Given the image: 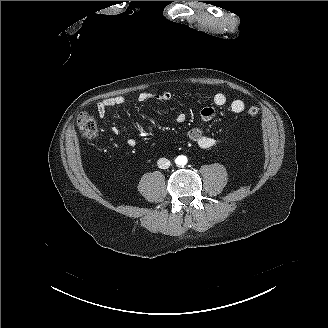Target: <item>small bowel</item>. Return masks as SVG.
Segmentation results:
<instances>
[{
	"instance_id": "1",
	"label": "small bowel",
	"mask_w": 328,
	"mask_h": 328,
	"mask_svg": "<svg viewBox=\"0 0 328 328\" xmlns=\"http://www.w3.org/2000/svg\"><path fill=\"white\" fill-rule=\"evenodd\" d=\"M171 98V93L168 91L162 92H142L138 95V102H149V101H167ZM215 106H224L228 103L227 96L224 93H216L212 97ZM126 102L122 96L107 98L97 104L96 110L101 118H104L109 109L124 105ZM229 107L232 112L240 113L245 109V103L240 99H235L230 102ZM216 115V108L214 106H207L200 112V123L195 127L187 131V138L196 143L202 149H210L215 145V139L208 135L204 130V124L212 120ZM178 122H184L186 120L185 113H179L176 117ZM113 134L119 133L118 128H112ZM127 145L134 147L136 145L135 139H128Z\"/></svg>"
}]
</instances>
